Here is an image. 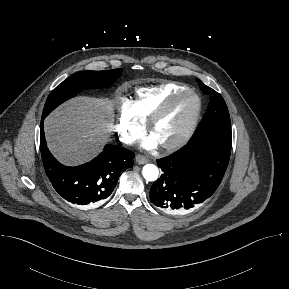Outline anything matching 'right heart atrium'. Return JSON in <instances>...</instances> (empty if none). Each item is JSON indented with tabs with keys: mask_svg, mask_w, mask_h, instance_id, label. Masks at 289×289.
Listing matches in <instances>:
<instances>
[{
	"mask_svg": "<svg viewBox=\"0 0 289 289\" xmlns=\"http://www.w3.org/2000/svg\"><path fill=\"white\" fill-rule=\"evenodd\" d=\"M144 131V123L135 115L132 102L122 99L119 105V113L116 124V132L124 143L137 140Z\"/></svg>",
	"mask_w": 289,
	"mask_h": 289,
	"instance_id": "1",
	"label": "right heart atrium"
}]
</instances>
